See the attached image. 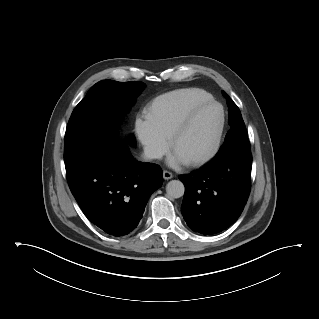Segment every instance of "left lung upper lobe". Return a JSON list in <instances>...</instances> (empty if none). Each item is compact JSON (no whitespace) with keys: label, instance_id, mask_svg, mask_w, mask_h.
Wrapping results in <instances>:
<instances>
[{"label":"left lung upper lobe","instance_id":"5c2ea615","mask_svg":"<svg viewBox=\"0 0 319 319\" xmlns=\"http://www.w3.org/2000/svg\"><path fill=\"white\" fill-rule=\"evenodd\" d=\"M223 95L227 99V103L229 106L228 123L230 125V130L225 137L223 146L216 154V157H219L224 153H229L237 150L251 151L249 139L247 137V131L240 110L225 92H223Z\"/></svg>","mask_w":319,"mask_h":319}]
</instances>
